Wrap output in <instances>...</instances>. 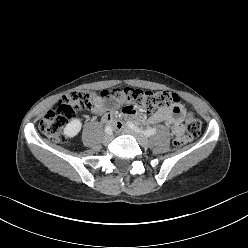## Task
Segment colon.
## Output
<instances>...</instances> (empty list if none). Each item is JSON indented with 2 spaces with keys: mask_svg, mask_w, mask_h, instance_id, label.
I'll use <instances>...</instances> for the list:
<instances>
[{
  "mask_svg": "<svg viewBox=\"0 0 248 248\" xmlns=\"http://www.w3.org/2000/svg\"><path fill=\"white\" fill-rule=\"evenodd\" d=\"M101 97L108 96L129 104V107L153 111L157 108L170 105H180V97L170 91H143L132 88L113 89L103 91ZM97 96L88 90H73L64 95L40 120V131L52 142L63 143L66 137L63 134L65 125L72 120L79 110L91 107ZM186 134L176 136L173 144L184 146L201 132V122L192 114L185 121Z\"/></svg>",
  "mask_w": 248,
  "mask_h": 248,
  "instance_id": "colon-1",
  "label": "colon"
}]
</instances>
